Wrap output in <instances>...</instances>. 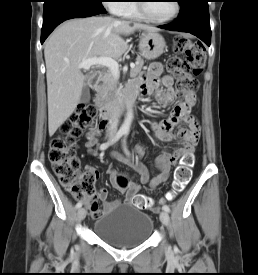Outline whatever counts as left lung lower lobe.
<instances>
[{
  "mask_svg": "<svg viewBox=\"0 0 258 275\" xmlns=\"http://www.w3.org/2000/svg\"><path fill=\"white\" fill-rule=\"evenodd\" d=\"M180 7L177 21L159 27L171 31L189 32L210 46L211 29L208 0H184L180 3Z\"/></svg>",
  "mask_w": 258,
  "mask_h": 275,
  "instance_id": "left-lung-lower-lobe-1",
  "label": "left lung lower lobe"
}]
</instances>
